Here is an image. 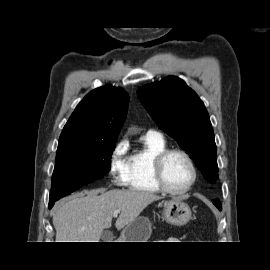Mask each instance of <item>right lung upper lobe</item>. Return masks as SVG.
<instances>
[{
  "label": "right lung upper lobe",
  "instance_id": "cb5924a9",
  "mask_svg": "<svg viewBox=\"0 0 270 270\" xmlns=\"http://www.w3.org/2000/svg\"><path fill=\"white\" fill-rule=\"evenodd\" d=\"M128 101L122 88L106 85L94 89L78 104L60 139L116 141Z\"/></svg>",
  "mask_w": 270,
  "mask_h": 270
}]
</instances>
